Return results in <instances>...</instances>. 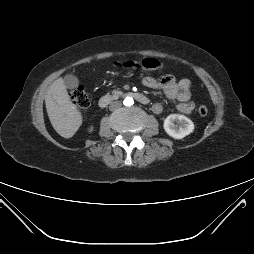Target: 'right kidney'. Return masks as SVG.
I'll return each mask as SVG.
<instances>
[{
    "mask_svg": "<svg viewBox=\"0 0 254 254\" xmlns=\"http://www.w3.org/2000/svg\"><path fill=\"white\" fill-rule=\"evenodd\" d=\"M93 131V126H91L90 128H89V132H92Z\"/></svg>",
    "mask_w": 254,
    "mask_h": 254,
    "instance_id": "right-kidney-1",
    "label": "right kidney"
}]
</instances>
